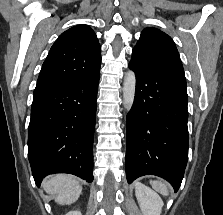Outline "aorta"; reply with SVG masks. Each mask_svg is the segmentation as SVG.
<instances>
[{"mask_svg": "<svg viewBox=\"0 0 223 215\" xmlns=\"http://www.w3.org/2000/svg\"><path fill=\"white\" fill-rule=\"evenodd\" d=\"M136 78L134 72H127L123 84V104L129 111L132 108L135 96Z\"/></svg>", "mask_w": 223, "mask_h": 215, "instance_id": "aorta-1", "label": "aorta"}]
</instances>
